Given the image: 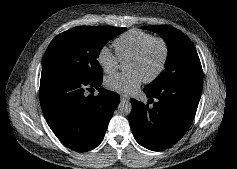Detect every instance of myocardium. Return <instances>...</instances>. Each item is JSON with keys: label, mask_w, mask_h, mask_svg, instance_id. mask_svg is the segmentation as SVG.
<instances>
[{"label": "myocardium", "mask_w": 237, "mask_h": 169, "mask_svg": "<svg viewBox=\"0 0 237 169\" xmlns=\"http://www.w3.org/2000/svg\"><path fill=\"white\" fill-rule=\"evenodd\" d=\"M154 43H159L162 46L163 55H162L161 62L158 68L156 69V71L151 76L143 79V82L145 83H151L155 81L164 71L167 64L168 57H169V46L167 42L161 37H153L152 39L147 41L137 52H135L133 55H131L128 58V60H137V59L142 58L144 54L147 52V50L149 49V47L153 45Z\"/></svg>", "instance_id": "f54148a6"}]
</instances>
